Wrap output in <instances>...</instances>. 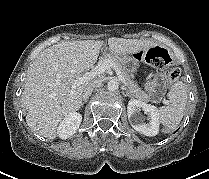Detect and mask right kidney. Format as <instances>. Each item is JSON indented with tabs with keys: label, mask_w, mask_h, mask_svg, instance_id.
I'll list each match as a JSON object with an SVG mask.
<instances>
[{
	"label": "right kidney",
	"mask_w": 209,
	"mask_h": 179,
	"mask_svg": "<svg viewBox=\"0 0 209 179\" xmlns=\"http://www.w3.org/2000/svg\"><path fill=\"white\" fill-rule=\"evenodd\" d=\"M82 121V115L77 112L69 113L58 127V136L61 139H67L72 136L79 128Z\"/></svg>",
	"instance_id": "right-kidney-1"
}]
</instances>
